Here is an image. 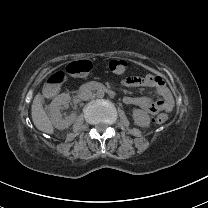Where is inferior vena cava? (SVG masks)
Listing matches in <instances>:
<instances>
[{
  "label": "inferior vena cava",
  "mask_w": 208,
  "mask_h": 208,
  "mask_svg": "<svg viewBox=\"0 0 208 208\" xmlns=\"http://www.w3.org/2000/svg\"><path fill=\"white\" fill-rule=\"evenodd\" d=\"M79 98L81 100H85V101L90 100L92 98V92H91V90L86 89V88L81 89V91L79 93Z\"/></svg>",
  "instance_id": "602c4592"
}]
</instances>
